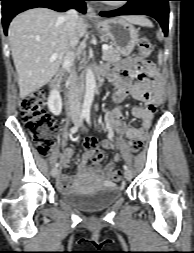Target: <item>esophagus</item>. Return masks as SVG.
<instances>
[{
    "instance_id": "1",
    "label": "esophagus",
    "mask_w": 194,
    "mask_h": 253,
    "mask_svg": "<svg viewBox=\"0 0 194 253\" xmlns=\"http://www.w3.org/2000/svg\"><path fill=\"white\" fill-rule=\"evenodd\" d=\"M87 17L91 20H98L99 19L96 12L94 11V9L90 5L87 6Z\"/></svg>"
}]
</instances>
